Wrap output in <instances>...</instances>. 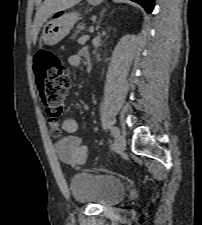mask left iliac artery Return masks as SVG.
I'll return each mask as SVG.
<instances>
[{
	"label": "left iliac artery",
	"mask_w": 202,
	"mask_h": 225,
	"mask_svg": "<svg viewBox=\"0 0 202 225\" xmlns=\"http://www.w3.org/2000/svg\"><path fill=\"white\" fill-rule=\"evenodd\" d=\"M110 130L114 136L119 134V130L117 127H111Z\"/></svg>",
	"instance_id": "1"
}]
</instances>
